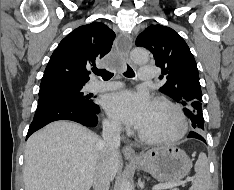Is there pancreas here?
<instances>
[{
    "mask_svg": "<svg viewBox=\"0 0 234 190\" xmlns=\"http://www.w3.org/2000/svg\"><path fill=\"white\" fill-rule=\"evenodd\" d=\"M173 190H179V189H177V188H174Z\"/></svg>",
    "mask_w": 234,
    "mask_h": 190,
    "instance_id": "cf45deb5",
    "label": "pancreas"
}]
</instances>
